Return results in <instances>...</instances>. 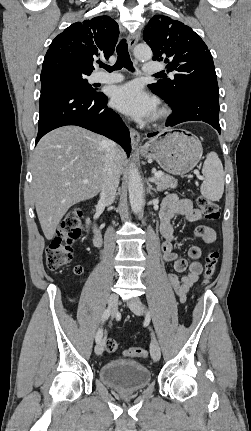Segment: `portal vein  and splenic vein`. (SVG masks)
<instances>
[{"label": "portal vein and splenic vein", "instance_id": "18ae733b", "mask_svg": "<svg viewBox=\"0 0 251 431\" xmlns=\"http://www.w3.org/2000/svg\"><path fill=\"white\" fill-rule=\"evenodd\" d=\"M161 176H162V173H161V172H157V173H155V174H154V178H153V180H155L156 178H159V177H161ZM199 179H202V178L200 177ZM83 183H84V184H87V183H88V180H87V179H84V180H83Z\"/></svg>", "mask_w": 251, "mask_h": 431}]
</instances>
